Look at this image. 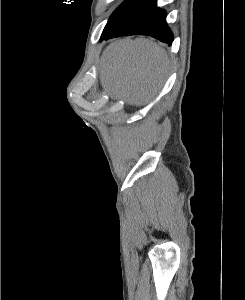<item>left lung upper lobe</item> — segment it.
<instances>
[{"instance_id":"obj_1","label":"left lung upper lobe","mask_w":245,"mask_h":300,"mask_svg":"<svg viewBox=\"0 0 245 300\" xmlns=\"http://www.w3.org/2000/svg\"><path fill=\"white\" fill-rule=\"evenodd\" d=\"M145 0H126L111 15L106 24L103 33L107 32L114 24H116L130 10L143 3Z\"/></svg>"}]
</instances>
